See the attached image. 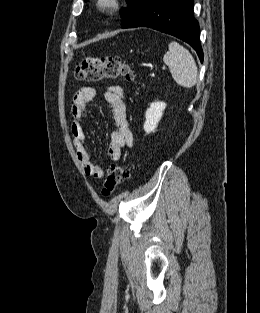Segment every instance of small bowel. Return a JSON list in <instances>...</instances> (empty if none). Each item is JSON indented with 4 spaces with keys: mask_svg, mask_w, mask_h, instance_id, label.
<instances>
[{
    "mask_svg": "<svg viewBox=\"0 0 260 313\" xmlns=\"http://www.w3.org/2000/svg\"><path fill=\"white\" fill-rule=\"evenodd\" d=\"M95 96L96 90L90 86L81 87L75 94L72 103L71 133L76 155L84 173L96 179H101L105 175L104 169L101 165L92 162L82 125V120L88 111V105ZM103 99L111 107L113 117V130L110 133L108 154L113 161H119L122 156V149L133 145V135L126 118L123 89L117 85L109 86L103 95Z\"/></svg>",
    "mask_w": 260,
    "mask_h": 313,
    "instance_id": "1",
    "label": "small bowel"
}]
</instances>
